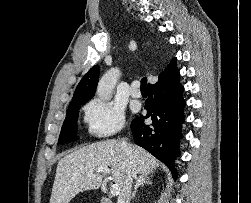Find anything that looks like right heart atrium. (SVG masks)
<instances>
[{
  "label": "right heart atrium",
  "mask_w": 251,
  "mask_h": 203,
  "mask_svg": "<svg viewBox=\"0 0 251 203\" xmlns=\"http://www.w3.org/2000/svg\"><path fill=\"white\" fill-rule=\"evenodd\" d=\"M85 120L89 132L99 138L116 134L125 122L121 107L101 99H93L86 105Z\"/></svg>",
  "instance_id": "right-heart-atrium-1"
}]
</instances>
